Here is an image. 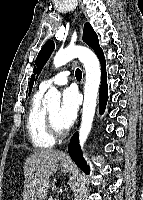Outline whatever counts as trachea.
I'll return each instance as SVG.
<instances>
[{
    "mask_svg": "<svg viewBox=\"0 0 143 200\" xmlns=\"http://www.w3.org/2000/svg\"><path fill=\"white\" fill-rule=\"evenodd\" d=\"M75 76H76L77 80H81V78H82V71L79 68L76 69Z\"/></svg>",
    "mask_w": 143,
    "mask_h": 200,
    "instance_id": "trachea-1",
    "label": "trachea"
}]
</instances>
